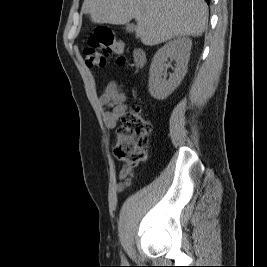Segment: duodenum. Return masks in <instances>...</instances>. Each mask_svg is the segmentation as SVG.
Instances as JSON below:
<instances>
[{
    "label": "duodenum",
    "mask_w": 267,
    "mask_h": 267,
    "mask_svg": "<svg viewBox=\"0 0 267 267\" xmlns=\"http://www.w3.org/2000/svg\"><path fill=\"white\" fill-rule=\"evenodd\" d=\"M134 61L138 65L143 64L144 61H145V54H144V52L141 51V50L135 51V53H134Z\"/></svg>",
    "instance_id": "obj_1"
}]
</instances>
